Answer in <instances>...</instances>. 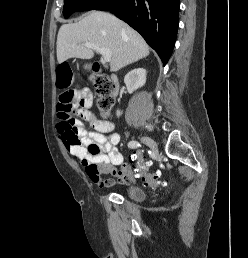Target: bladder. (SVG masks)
<instances>
[{
  "instance_id": "bladder-1",
  "label": "bladder",
  "mask_w": 248,
  "mask_h": 258,
  "mask_svg": "<svg viewBox=\"0 0 248 258\" xmlns=\"http://www.w3.org/2000/svg\"><path fill=\"white\" fill-rule=\"evenodd\" d=\"M126 195L133 201H141L145 197V192L138 186H129Z\"/></svg>"
}]
</instances>
